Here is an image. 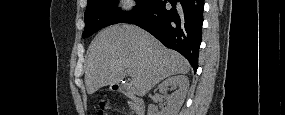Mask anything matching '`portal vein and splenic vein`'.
I'll return each instance as SVG.
<instances>
[{
    "label": "portal vein and splenic vein",
    "instance_id": "obj_1",
    "mask_svg": "<svg viewBox=\"0 0 285 115\" xmlns=\"http://www.w3.org/2000/svg\"><path fill=\"white\" fill-rule=\"evenodd\" d=\"M127 74L130 75L131 71L129 69L126 70Z\"/></svg>",
    "mask_w": 285,
    "mask_h": 115
}]
</instances>
